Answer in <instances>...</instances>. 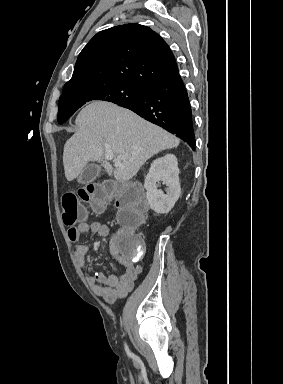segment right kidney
<instances>
[{
	"instance_id": "obj_1",
	"label": "right kidney",
	"mask_w": 283,
	"mask_h": 384,
	"mask_svg": "<svg viewBox=\"0 0 283 384\" xmlns=\"http://www.w3.org/2000/svg\"><path fill=\"white\" fill-rule=\"evenodd\" d=\"M159 182L168 186L167 194L157 190ZM144 188L147 190L146 196L150 208L156 214H168L172 210L181 194L178 162L174 154H166L164 158L154 160L145 178Z\"/></svg>"
}]
</instances>
